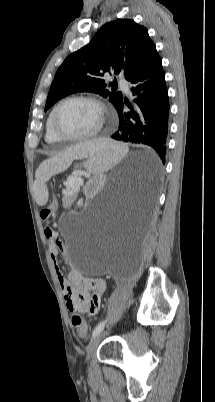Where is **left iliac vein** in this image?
<instances>
[{"label": "left iliac vein", "mask_w": 215, "mask_h": 402, "mask_svg": "<svg viewBox=\"0 0 215 402\" xmlns=\"http://www.w3.org/2000/svg\"><path fill=\"white\" fill-rule=\"evenodd\" d=\"M106 331H101L98 333L96 336L93 337V339L90 341V343L87 346L86 353L87 357L86 359L89 360L92 354L95 352L96 348L98 347L99 343L105 336Z\"/></svg>", "instance_id": "left-iliac-vein-1"}]
</instances>
